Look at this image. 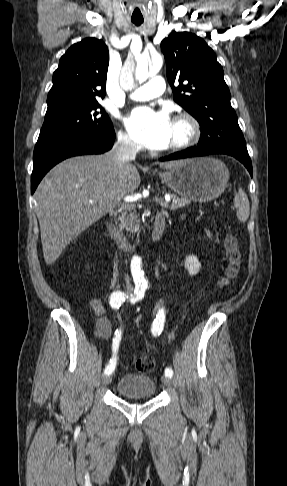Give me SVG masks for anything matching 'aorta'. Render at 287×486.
Wrapping results in <instances>:
<instances>
[{
    "instance_id": "obj_1",
    "label": "aorta",
    "mask_w": 287,
    "mask_h": 486,
    "mask_svg": "<svg viewBox=\"0 0 287 486\" xmlns=\"http://www.w3.org/2000/svg\"><path fill=\"white\" fill-rule=\"evenodd\" d=\"M162 64H163V60L159 56L153 58L152 63L149 65V69H148L147 61L138 63L135 69V79L139 81V83L144 82L150 75L157 74L160 71ZM131 271L134 280L145 285L147 284V281L144 278V273L141 270L140 257L138 256L133 257L131 261Z\"/></svg>"
}]
</instances>
